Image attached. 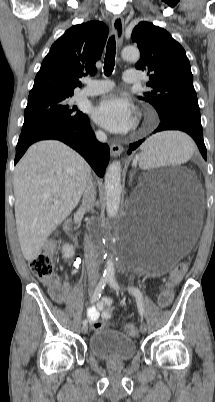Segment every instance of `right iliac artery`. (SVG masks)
I'll return each instance as SVG.
<instances>
[{
	"label": "right iliac artery",
	"instance_id": "82829eb1",
	"mask_svg": "<svg viewBox=\"0 0 215 402\" xmlns=\"http://www.w3.org/2000/svg\"><path fill=\"white\" fill-rule=\"evenodd\" d=\"M107 282H108V278H106V277H102L100 279L99 283L97 284V286L95 288L93 296L91 298V303L96 302L101 297L102 291H103L104 287L106 286ZM82 324L87 325V320H83Z\"/></svg>",
	"mask_w": 215,
	"mask_h": 402
}]
</instances>
